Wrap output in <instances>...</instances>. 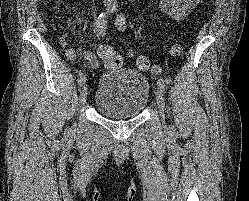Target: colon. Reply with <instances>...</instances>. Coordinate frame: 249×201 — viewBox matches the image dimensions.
<instances>
[{
  "label": "colon",
  "instance_id": "obj_1",
  "mask_svg": "<svg viewBox=\"0 0 249 201\" xmlns=\"http://www.w3.org/2000/svg\"><path fill=\"white\" fill-rule=\"evenodd\" d=\"M170 53L173 56H179L183 53L181 42H177L171 46ZM99 55L107 67H114L121 64L120 56L111 46H103L99 50ZM136 65L143 70L151 68L149 59L146 56L139 55L136 57Z\"/></svg>",
  "mask_w": 249,
  "mask_h": 201
}]
</instances>
